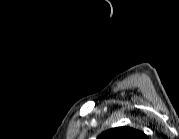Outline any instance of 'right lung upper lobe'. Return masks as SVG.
<instances>
[{
	"label": "right lung upper lobe",
	"mask_w": 179,
	"mask_h": 139,
	"mask_svg": "<svg viewBox=\"0 0 179 139\" xmlns=\"http://www.w3.org/2000/svg\"><path fill=\"white\" fill-rule=\"evenodd\" d=\"M145 134L131 127H117L104 132L99 139H144Z\"/></svg>",
	"instance_id": "right-lung-upper-lobe-1"
}]
</instances>
